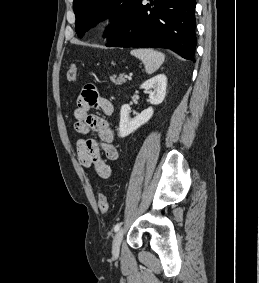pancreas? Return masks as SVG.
I'll list each match as a JSON object with an SVG mask.
<instances>
[{"mask_svg": "<svg viewBox=\"0 0 259 283\" xmlns=\"http://www.w3.org/2000/svg\"><path fill=\"white\" fill-rule=\"evenodd\" d=\"M110 79L114 84H117V85H122L126 82V79L124 78V74H121L119 77H117L116 75H113L110 77Z\"/></svg>", "mask_w": 259, "mask_h": 283, "instance_id": "pancreas-1", "label": "pancreas"}]
</instances>
